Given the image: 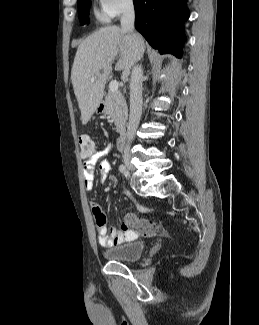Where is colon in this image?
I'll return each instance as SVG.
<instances>
[{"mask_svg":"<svg viewBox=\"0 0 259 325\" xmlns=\"http://www.w3.org/2000/svg\"><path fill=\"white\" fill-rule=\"evenodd\" d=\"M79 151L81 157L84 159H88L95 152V145L90 135L82 134L79 137ZM125 223L133 231L145 237H154L164 234L161 224L153 219H143L133 214H127Z\"/></svg>","mask_w":259,"mask_h":325,"instance_id":"colon-1","label":"colon"}]
</instances>
